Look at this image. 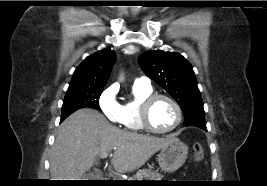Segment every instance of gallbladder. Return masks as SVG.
<instances>
[{"label":"gallbladder","instance_id":"obj_1","mask_svg":"<svg viewBox=\"0 0 267 186\" xmlns=\"http://www.w3.org/2000/svg\"><path fill=\"white\" fill-rule=\"evenodd\" d=\"M84 179H90V178H94L95 177V175H94V173H86V174H84Z\"/></svg>","mask_w":267,"mask_h":186}]
</instances>
